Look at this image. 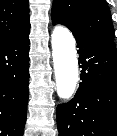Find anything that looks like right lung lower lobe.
Returning a JSON list of instances; mask_svg holds the SVG:
<instances>
[{
	"mask_svg": "<svg viewBox=\"0 0 117 136\" xmlns=\"http://www.w3.org/2000/svg\"><path fill=\"white\" fill-rule=\"evenodd\" d=\"M30 28L0 41V136H23L27 114Z\"/></svg>",
	"mask_w": 117,
	"mask_h": 136,
	"instance_id": "right-lung-lower-lobe-1",
	"label": "right lung lower lobe"
}]
</instances>
